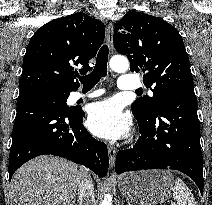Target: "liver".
Here are the masks:
<instances>
[{"instance_id":"1","label":"liver","mask_w":212,"mask_h":205,"mask_svg":"<svg viewBox=\"0 0 212 205\" xmlns=\"http://www.w3.org/2000/svg\"><path fill=\"white\" fill-rule=\"evenodd\" d=\"M78 167L44 155L21 166L11 180L14 205H75Z\"/></svg>"}]
</instances>
